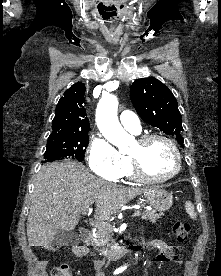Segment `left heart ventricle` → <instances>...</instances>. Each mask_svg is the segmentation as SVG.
Wrapping results in <instances>:
<instances>
[{
	"mask_svg": "<svg viewBox=\"0 0 221 276\" xmlns=\"http://www.w3.org/2000/svg\"><path fill=\"white\" fill-rule=\"evenodd\" d=\"M130 154L137 156L144 170L154 177L167 176L174 171L176 166L171 147L162 140H153L143 146L136 142Z\"/></svg>",
	"mask_w": 221,
	"mask_h": 276,
	"instance_id": "left-heart-ventricle-1",
	"label": "left heart ventricle"
}]
</instances>
